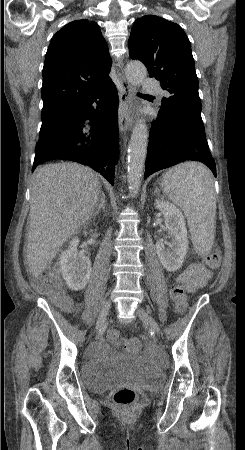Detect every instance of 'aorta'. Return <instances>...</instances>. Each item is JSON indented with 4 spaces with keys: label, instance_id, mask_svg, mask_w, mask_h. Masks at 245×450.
Wrapping results in <instances>:
<instances>
[{
    "label": "aorta",
    "instance_id": "aorta-1",
    "mask_svg": "<svg viewBox=\"0 0 245 450\" xmlns=\"http://www.w3.org/2000/svg\"><path fill=\"white\" fill-rule=\"evenodd\" d=\"M147 76L145 65L139 61H131L126 65L127 80L134 86L143 83ZM148 129L144 119H139L133 128L128 146V188L130 193L137 194L141 186L144 164L147 155Z\"/></svg>",
    "mask_w": 245,
    "mask_h": 450
}]
</instances>
